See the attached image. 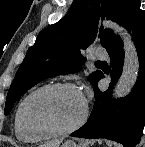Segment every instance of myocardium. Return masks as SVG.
I'll return each mask as SVG.
<instances>
[{"instance_id":"f54148a6","label":"myocardium","mask_w":145,"mask_h":147,"mask_svg":"<svg viewBox=\"0 0 145 147\" xmlns=\"http://www.w3.org/2000/svg\"><path fill=\"white\" fill-rule=\"evenodd\" d=\"M60 89L74 90L81 95L83 100V112L79 120L67 128L56 129V128L49 127L43 123L35 122L32 119H30L28 115V106L31 100L43 93H47L54 90H60ZM88 113H89L88 103L76 85L72 83H52V84L44 85L40 88H37L36 90L32 91L29 95H27L24 98L20 108L19 118L23 127L28 132L38 133L45 137H59V136L69 135L73 133L74 131L78 130L86 122L88 118Z\"/></svg>"}]
</instances>
